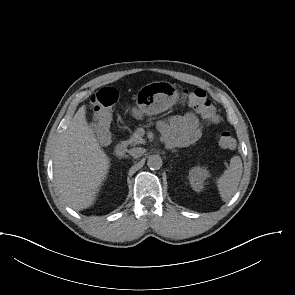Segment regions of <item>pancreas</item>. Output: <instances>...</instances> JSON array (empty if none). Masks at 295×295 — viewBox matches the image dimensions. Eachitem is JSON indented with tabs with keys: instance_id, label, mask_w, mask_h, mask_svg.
Segmentation results:
<instances>
[{
	"instance_id": "obj_1",
	"label": "pancreas",
	"mask_w": 295,
	"mask_h": 295,
	"mask_svg": "<svg viewBox=\"0 0 295 295\" xmlns=\"http://www.w3.org/2000/svg\"><path fill=\"white\" fill-rule=\"evenodd\" d=\"M127 143L136 146L145 143V140L142 138L138 131H135L130 137V139L127 140Z\"/></svg>"
}]
</instances>
